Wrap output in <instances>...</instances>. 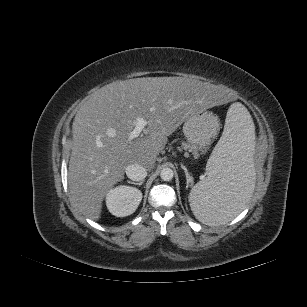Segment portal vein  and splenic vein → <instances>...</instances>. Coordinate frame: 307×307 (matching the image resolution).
Segmentation results:
<instances>
[{"label":"portal vein and splenic vein","mask_w":307,"mask_h":307,"mask_svg":"<svg viewBox=\"0 0 307 307\" xmlns=\"http://www.w3.org/2000/svg\"><path fill=\"white\" fill-rule=\"evenodd\" d=\"M148 121H146L145 119L138 117L136 119L135 122V127L134 129L131 131L130 135H129V140H134L135 138H137L142 131H144L145 126L147 125Z\"/></svg>","instance_id":"portal-vein-and-splenic-vein-1"}]
</instances>
